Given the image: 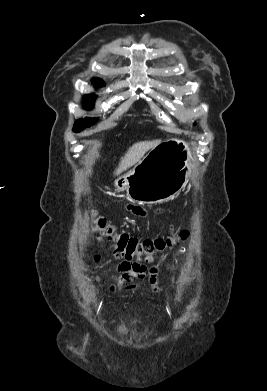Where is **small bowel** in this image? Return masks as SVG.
Instances as JSON below:
<instances>
[{
  "mask_svg": "<svg viewBox=\"0 0 267 391\" xmlns=\"http://www.w3.org/2000/svg\"><path fill=\"white\" fill-rule=\"evenodd\" d=\"M127 209L135 215L144 216L146 214L145 210H143L140 206L128 205ZM117 272L119 275L115 277V281L118 286H123L125 289H133L135 286L141 284L145 278H147L153 290H159L154 269L148 271L147 273V269L143 266L122 263L117 266ZM136 278L140 280L138 284L133 282ZM114 288L115 286L113 285L112 289Z\"/></svg>",
  "mask_w": 267,
  "mask_h": 391,
  "instance_id": "obj_1",
  "label": "small bowel"
}]
</instances>
